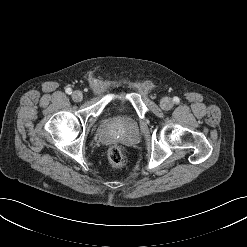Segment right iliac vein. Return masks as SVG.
I'll use <instances>...</instances> for the list:
<instances>
[{"label":"right iliac vein","instance_id":"1","mask_svg":"<svg viewBox=\"0 0 247 247\" xmlns=\"http://www.w3.org/2000/svg\"><path fill=\"white\" fill-rule=\"evenodd\" d=\"M82 98H83L82 92H80V91H74V92L72 93V99H73L75 102L81 101Z\"/></svg>","mask_w":247,"mask_h":247}]
</instances>
